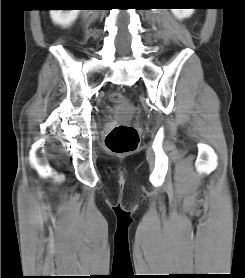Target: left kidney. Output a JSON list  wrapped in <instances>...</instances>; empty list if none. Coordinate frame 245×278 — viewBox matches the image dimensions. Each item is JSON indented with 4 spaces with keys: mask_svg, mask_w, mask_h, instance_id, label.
<instances>
[{
    "mask_svg": "<svg viewBox=\"0 0 245 278\" xmlns=\"http://www.w3.org/2000/svg\"><path fill=\"white\" fill-rule=\"evenodd\" d=\"M172 13L178 19H184L190 17L194 13V8L192 9H171Z\"/></svg>",
    "mask_w": 245,
    "mask_h": 278,
    "instance_id": "5707ae66",
    "label": "left kidney"
}]
</instances>
